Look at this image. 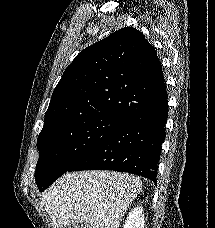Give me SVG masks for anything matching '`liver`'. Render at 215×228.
Returning <instances> with one entry per match:
<instances>
[{"mask_svg": "<svg viewBox=\"0 0 215 228\" xmlns=\"http://www.w3.org/2000/svg\"><path fill=\"white\" fill-rule=\"evenodd\" d=\"M133 174L87 170L67 172L41 202L55 228H120L121 218L142 190Z\"/></svg>", "mask_w": 215, "mask_h": 228, "instance_id": "6515ba94", "label": "liver"}]
</instances>
